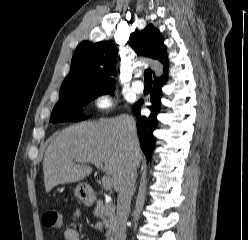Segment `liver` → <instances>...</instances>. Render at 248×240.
Returning <instances> with one entry per match:
<instances>
[{
  "instance_id": "1",
  "label": "liver",
  "mask_w": 248,
  "mask_h": 240,
  "mask_svg": "<svg viewBox=\"0 0 248 240\" xmlns=\"http://www.w3.org/2000/svg\"><path fill=\"white\" fill-rule=\"evenodd\" d=\"M133 124V118L121 115L79 123L57 132L43 159L45 191L49 193L59 184L77 182L89 176L92 168L83 164L86 159L104 163V172L112 176L114 189L118 190L130 154L134 155L137 167L142 161L138 139L131 144L129 138Z\"/></svg>"
}]
</instances>
